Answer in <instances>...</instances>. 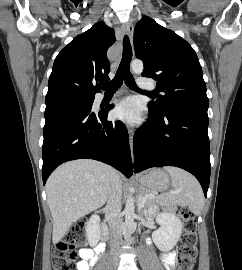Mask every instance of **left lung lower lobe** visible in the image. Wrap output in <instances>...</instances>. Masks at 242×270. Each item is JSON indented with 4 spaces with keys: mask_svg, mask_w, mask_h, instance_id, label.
<instances>
[{
    "mask_svg": "<svg viewBox=\"0 0 242 270\" xmlns=\"http://www.w3.org/2000/svg\"><path fill=\"white\" fill-rule=\"evenodd\" d=\"M207 109L182 107L158 115L149 108L150 117L134 135L135 172L176 166L193 174L207 196L211 172Z\"/></svg>",
    "mask_w": 242,
    "mask_h": 270,
    "instance_id": "1",
    "label": "left lung lower lobe"
}]
</instances>
